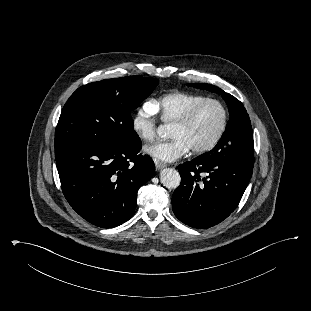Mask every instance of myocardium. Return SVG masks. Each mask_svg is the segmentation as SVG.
<instances>
[{
  "label": "myocardium",
  "instance_id": "myocardium-1",
  "mask_svg": "<svg viewBox=\"0 0 311 311\" xmlns=\"http://www.w3.org/2000/svg\"><path fill=\"white\" fill-rule=\"evenodd\" d=\"M207 104H215L220 108L222 114L221 124L214 137L208 143L200 147L191 148V151L193 153L207 152L213 149L221 140L228 124V111L226 106L220 100L214 98H206L201 102L195 104L193 107H191L181 118H179L177 121L173 123V125L181 127L189 125L196 116V114L199 112V110Z\"/></svg>",
  "mask_w": 311,
  "mask_h": 311
}]
</instances>
